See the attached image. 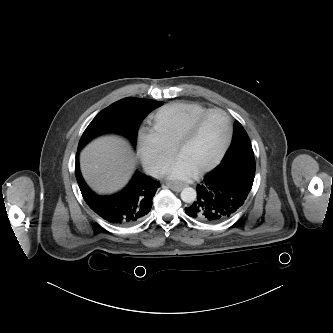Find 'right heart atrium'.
Listing matches in <instances>:
<instances>
[{"label":"right heart atrium","instance_id":"d8ad5b80","mask_svg":"<svg viewBox=\"0 0 333 333\" xmlns=\"http://www.w3.org/2000/svg\"><path fill=\"white\" fill-rule=\"evenodd\" d=\"M138 151L144 167L154 176L163 173L172 157V148L152 129H142L139 132Z\"/></svg>","mask_w":333,"mask_h":333}]
</instances>
